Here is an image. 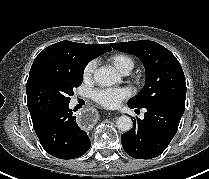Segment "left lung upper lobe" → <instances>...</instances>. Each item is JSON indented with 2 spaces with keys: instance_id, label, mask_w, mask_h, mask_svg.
Instances as JSON below:
<instances>
[{
  "instance_id": "1",
  "label": "left lung upper lobe",
  "mask_w": 209,
  "mask_h": 179,
  "mask_svg": "<svg viewBox=\"0 0 209 179\" xmlns=\"http://www.w3.org/2000/svg\"><path fill=\"white\" fill-rule=\"evenodd\" d=\"M111 46L139 57L145 65L147 79L143 90L128 103L144 108L169 101H185L186 82L176 57L154 41L113 43Z\"/></svg>"
}]
</instances>
